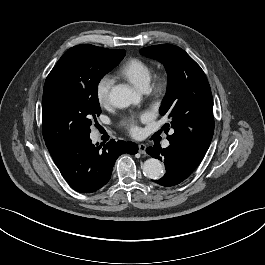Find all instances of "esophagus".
Returning <instances> with one entry per match:
<instances>
[{
	"mask_svg": "<svg viewBox=\"0 0 265 265\" xmlns=\"http://www.w3.org/2000/svg\"><path fill=\"white\" fill-rule=\"evenodd\" d=\"M147 146L143 143H140L138 145V151L140 154H145L146 153Z\"/></svg>",
	"mask_w": 265,
	"mask_h": 265,
	"instance_id": "1",
	"label": "esophagus"
}]
</instances>
